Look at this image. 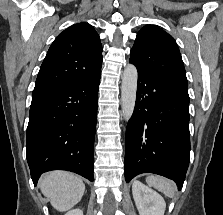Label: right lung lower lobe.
<instances>
[{
    "label": "right lung lower lobe",
    "mask_w": 223,
    "mask_h": 215,
    "mask_svg": "<svg viewBox=\"0 0 223 215\" xmlns=\"http://www.w3.org/2000/svg\"><path fill=\"white\" fill-rule=\"evenodd\" d=\"M101 70L34 96L27 127V161L34 185L44 172L68 170L94 181V138Z\"/></svg>",
    "instance_id": "98d812e1"
}]
</instances>
